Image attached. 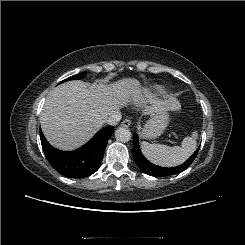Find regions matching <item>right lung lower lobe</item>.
<instances>
[{
  "mask_svg": "<svg viewBox=\"0 0 245 245\" xmlns=\"http://www.w3.org/2000/svg\"><path fill=\"white\" fill-rule=\"evenodd\" d=\"M113 130V126L100 130L87 144L71 152L52 147L42 131H40V139L46 158L57 172L71 178H83L99 169Z\"/></svg>",
  "mask_w": 245,
  "mask_h": 245,
  "instance_id": "obj_1",
  "label": "right lung lower lobe"
}]
</instances>
